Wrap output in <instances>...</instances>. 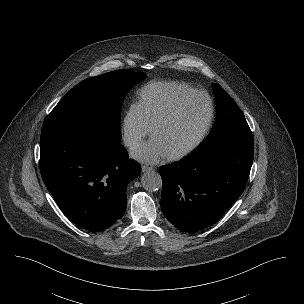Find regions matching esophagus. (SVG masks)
I'll list each match as a JSON object with an SVG mask.
<instances>
[{
    "label": "esophagus",
    "mask_w": 304,
    "mask_h": 304,
    "mask_svg": "<svg viewBox=\"0 0 304 304\" xmlns=\"http://www.w3.org/2000/svg\"><path fill=\"white\" fill-rule=\"evenodd\" d=\"M142 172H147V171H151L154 169V167L152 166H148V165H142L141 166Z\"/></svg>",
    "instance_id": "obj_1"
}]
</instances>
